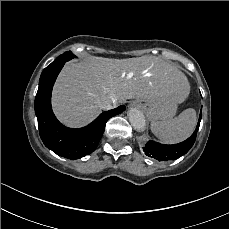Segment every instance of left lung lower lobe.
<instances>
[{"instance_id":"0a47b994","label":"left lung lower lobe","mask_w":229,"mask_h":229,"mask_svg":"<svg viewBox=\"0 0 229 229\" xmlns=\"http://www.w3.org/2000/svg\"><path fill=\"white\" fill-rule=\"evenodd\" d=\"M201 117H202V111H200V116L195 131L185 141L173 145H165L154 141H148L145 147H143L145 154L149 157H153L157 159L158 161L175 160L180 156L186 154L189 151V149L193 146L196 140Z\"/></svg>"}]
</instances>
